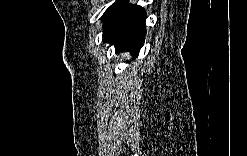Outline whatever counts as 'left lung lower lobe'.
I'll return each mask as SVG.
<instances>
[{
	"mask_svg": "<svg viewBox=\"0 0 247 156\" xmlns=\"http://www.w3.org/2000/svg\"><path fill=\"white\" fill-rule=\"evenodd\" d=\"M116 0L103 14L104 42L114 44L116 52L130 51L137 55L143 46L146 12L141 6Z\"/></svg>",
	"mask_w": 247,
	"mask_h": 156,
	"instance_id": "left-lung-lower-lobe-1",
	"label": "left lung lower lobe"
}]
</instances>
